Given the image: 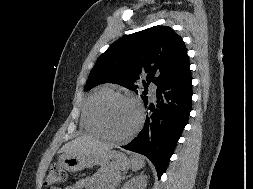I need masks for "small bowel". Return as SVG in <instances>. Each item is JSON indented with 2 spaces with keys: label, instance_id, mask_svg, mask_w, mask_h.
<instances>
[{
  "label": "small bowel",
  "instance_id": "1",
  "mask_svg": "<svg viewBox=\"0 0 253 189\" xmlns=\"http://www.w3.org/2000/svg\"><path fill=\"white\" fill-rule=\"evenodd\" d=\"M65 189H100V186L94 177H89L78 181L74 185L67 186Z\"/></svg>",
  "mask_w": 253,
  "mask_h": 189
}]
</instances>
